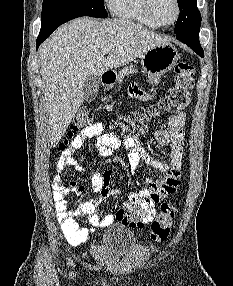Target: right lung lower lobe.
<instances>
[{
    "instance_id": "right-lung-lower-lobe-1",
    "label": "right lung lower lobe",
    "mask_w": 233,
    "mask_h": 286,
    "mask_svg": "<svg viewBox=\"0 0 233 286\" xmlns=\"http://www.w3.org/2000/svg\"><path fill=\"white\" fill-rule=\"evenodd\" d=\"M82 15L71 11H62L46 21H42L41 30L36 42V48L46 40L52 32L61 24L68 22L74 18L81 17Z\"/></svg>"
}]
</instances>
